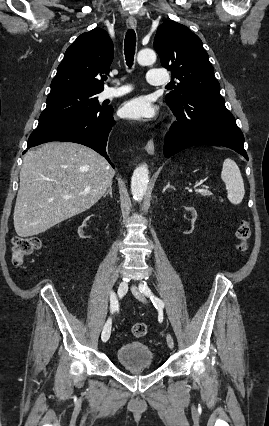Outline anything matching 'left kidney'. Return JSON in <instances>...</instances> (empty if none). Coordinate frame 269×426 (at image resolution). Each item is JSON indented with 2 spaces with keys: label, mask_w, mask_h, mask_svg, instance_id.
I'll return each mask as SVG.
<instances>
[{
  "label": "left kidney",
  "mask_w": 269,
  "mask_h": 426,
  "mask_svg": "<svg viewBox=\"0 0 269 426\" xmlns=\"http://www.w3.org/2000/svg\"><path fill=\"white\" fill-rule=\"evenodd\" d=\"M185 209L188 212H190V215H191L192 218H191V228H190V230L184 231V234H190V233H192V231L194 229V223H195V220L197 218V211L193 207H185Z\"/></svg>",
  "instance_id": "1"
}]
</instances>
